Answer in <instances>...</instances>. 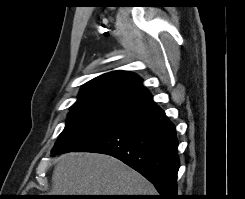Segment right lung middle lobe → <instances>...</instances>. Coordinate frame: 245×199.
I'll return each instance as SVG.
<instances>
[{
    "instance_id": "dd1d6c3e",
    "label": "right lung middle lobe",
    "mask_w": 245,
    "mask_h": 199,
    "mask_svg": "<svg viewBox=\"0 0 245 199\" xmlns=\"http://www.w3.org/2000/svg\"><path fill=\"white\" fill-rule=\"evenodd\" d=\"M66 126L59 135L51 155L74 151L102 136L127 115L94 107L71 108Z\"/></svg>"
}]
</instances>
